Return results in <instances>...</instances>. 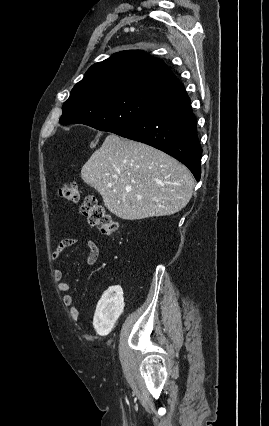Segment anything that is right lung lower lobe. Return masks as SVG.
<instances>
[{
	"label": "right lung lower lobe",
	"mask_w": 269,
	"mask_h": 426,
	"mask_svg": "<svg viewBox=\"0 0 269 426\" xmlns=\"http://www.w3.org/2000/svg\"><path fill=\"white\" fill-rule=\"evenodd\" d=\"M113 133L173 156L190 169L197 181L200 180L202 148L190 98L181 82L164 88L141 118Z\"/></svg>",
	"instance_id": "98d812e1"
}]
</instances>
